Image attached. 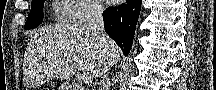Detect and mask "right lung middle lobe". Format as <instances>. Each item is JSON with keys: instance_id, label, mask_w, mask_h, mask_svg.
<instances>
[{"instance_id": "dd1d6c3e", "label": "right lung middle lobe", "mask_w": 216, "mask_h": 90, "mask_svg": "<svg viewBox=\"0 0 216 90\" xmlns=\"http://www.w3.org/2000/svg\"><path fill=\"white\" fill-rule=\"evenodd\" d=\"M44 1L45 0H32L31 11L24 25V29H34L42 22V8Z\"/></svg>"}]
</instances>
